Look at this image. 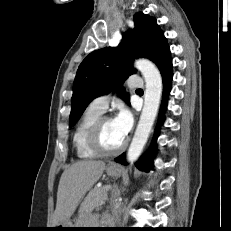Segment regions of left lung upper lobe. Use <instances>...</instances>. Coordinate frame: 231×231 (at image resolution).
Here are the masks:
<instances>
[{
	"label": "left lung upper lobe",
	"instance_id": "5c2ea615",
	"mask_svg": "<svg viewBox=\"0 0 231 231\" xmlns=\"http://www.w3.org/2000/svg\"><path fill=\"white\" fill-rule=\"evenodd\" d=\"M134 29L126 32L117 47H105L90 53L80 64L73 84L70 126L80 118L87 105L96 97L112 90L128 104L129 94L121 84L136 73L135 58L154 59L166 41L156 19L142 12L134 15Z\"/></svg>",
	"mask_w": 231,
	"mask_h": 231
}]
</instances>
